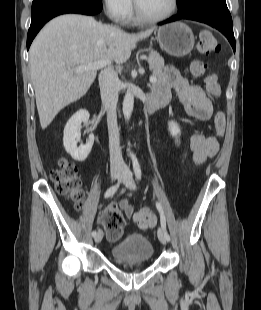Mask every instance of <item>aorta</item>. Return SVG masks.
Masks as SVG:
<instances>
[{"instance_id":"1","label":"aorta","mask_w":261,"mask_h":310,"mask_svg":"<svg viewBox=\"0 0 261 310\" xmlns=\"http://www.w3.org/2000/svg\"><path fill=\"white\" fill-rule=\"evenodd\" d=\"M134 106L133 92L128 90L123 99V115L126 121H129Z\"/></svg>"}]
</instances>
